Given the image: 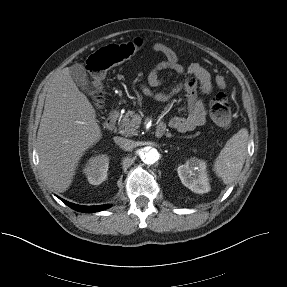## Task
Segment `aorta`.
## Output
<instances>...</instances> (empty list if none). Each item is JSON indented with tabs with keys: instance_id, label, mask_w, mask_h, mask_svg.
Wrapping results in <instances>:
<instances>
[{
	"instance_id": "aorta-1",
	"label": "aorta",
	"mask_w": 287,
	"mask_h": 287,
	"mask_svg": "<svg viewBox=\"0 0 287 287\" xmlns=\"http://www.w3.org/2000/svg\"><path fill=\"white\" fill-rule=\"evenodd\" d=\"M140 158L145 164H154L159 159V152L153 147H144L140 151Z\"/></svg>"
}]
</instances>
